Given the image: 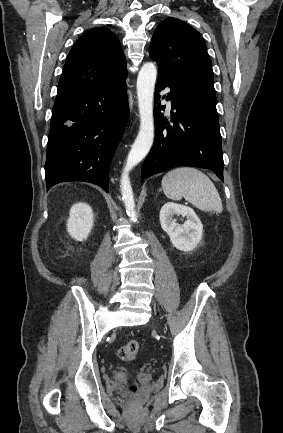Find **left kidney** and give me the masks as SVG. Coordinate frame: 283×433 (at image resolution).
<instances>
[{
    "mask_svg": "<svg viewBox=\"0 0 283 433\" xmlns=\"http://www.w3.org/2000/svg\"><path fill=\"white\" fill-rule=\"evenodd\" d=\"M175 215L186 217L185 223L178 225ZM160 224L169 235L172 244L181 251H191L201 241L203 225L190 207L173 202L164 204L160 211Z\"/></svg>",
    "mask_w": 283,
    "mask_h": 433,
    "instance_id": "5707ae66",
    "label": "left kidney"
}]
</instances>
